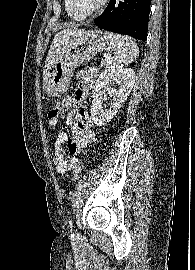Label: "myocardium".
Returning a JSON list of instances; mask_svg holds the SVG:
<instances>
[{
  "instance_id": "1",
  "label": "myocardium",
  "mask_w": 195,
  "mask_h": 270,
  "mask_svg": "<svg viewBox=\"0 0 195 270\" xmlns=\"http://www.w3.org/2000/svg\"><path fill=\"white\" fill-rule=\"evenodd\" d=\"M107 2H108V0H101L99 2V4L96 6V8H94L92 11L87 12V13H81V12H79L76 9L73 0H68V5H69L70 10L74 14H76L78 17H80L82 19H88V18H91V17L97 15L104 8V6L106 5Z\"/></svg>"
}]
</instances>
